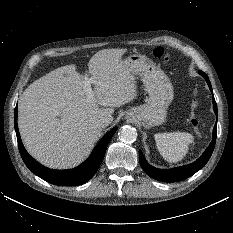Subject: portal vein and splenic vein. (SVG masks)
Wrapping results in <instances>:
<instances>
[{
  "instance_id": "18ae733b",
  "label": "portal vein and splenic vein",
  "mask_w": 233,
  "mask_h": 233,
  "mask_svg": "<svg viewBox=\"0 0 233 233\" xmlns=\"http://www.w3.org/2000/svg\"><path fill=\"white\" fill-rule=\"evenodd\" d=\"M91 84H92V78H86V79H85V82H84V90H85V92H86V94H87L88 100H90V101H91V100L93 99V97H94Z\"/></svg>"
}]
</instances>
